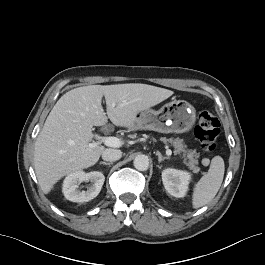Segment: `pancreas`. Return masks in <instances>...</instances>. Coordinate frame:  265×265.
Returning a JSON list of instances; mask_svg holds the SVG:
<instances>
[{"instance_id": "obj_1", "label": "pancreas", "mask_w": 265, "mask_h": 265, "mask_svg": "<svg viewBox=\"0 0 265 265\" xmlns=\"http://www.w3.org/2000/svg\"><path fill=\"white\" fill-rule=\"evenodd\" d=\"M161 141H163L165 144L171 143V145L174 147V154L182 155L183 163L188 166L193 173H198L200 171V168L197 166L199 154H197L195 150L186 149L187 146L184 144L182 139L161 138Z\"/></svg>"}]
</instances>
